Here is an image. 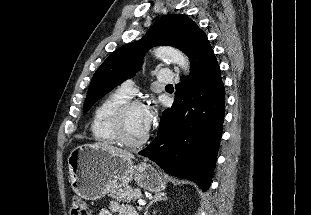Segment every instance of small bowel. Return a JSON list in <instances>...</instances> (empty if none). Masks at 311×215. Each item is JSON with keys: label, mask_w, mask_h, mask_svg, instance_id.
Here are the masks:
<instances>
[{"label": "small bowel", "mask_w": 311, "mask_h": 215, "mask_svg": "<svg viewBox=\"0 0 311 215\" xmlns=\"http://www.w3.org/2000/svg\"><path fill=\"white\" fill-rule=\"evenodd\" d=\"M137 215L135 209L126 204H119L116 201H111L106 208L99 211L97 215Z\"/></svg>", "instance_id": "1"}]
</instances>
